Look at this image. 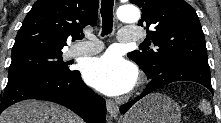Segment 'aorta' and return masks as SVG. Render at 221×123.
I'll return each instance as SVG.
<instances>
[{
    "instance_id": "1",
    "label": "aorta",
    "mask_w": 221,
    "mask_h": 123,
    "mask_svg": "<svg viewBox=\"0 0 221 123\" xmlns=\"http://www.w3.org/2000/svg\"><path fill=\"white\" fill-rule=\"evenodd\" d=\"M117 18L124 23H136L140 19V11L133 5H124L117 9Z\"/></svg>"
}]
</instances>
